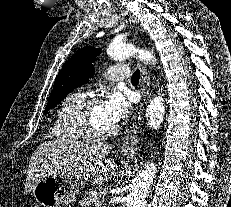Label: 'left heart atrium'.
I'll return each mask as SVG.
<instances>
[{"instance_id": "left-heart-atrium-1", "label": "left heart atrium", "mask_w": 231, "mask_h": 207, "mask_svg": "<svg viewBox=\"0 0 231 207\" xmlns=\"http://www.w3.org/2000/svg\"><path fill=\"white\" fill-rule=\"evenodd\" d=\"M102 105L105 114L116 125L127 116L131 106V99L129 96L114 91L107 95Z\"/></svg>"}]
</instances>
